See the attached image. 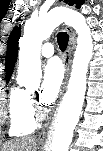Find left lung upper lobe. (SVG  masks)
<instances>
[{"mask_svg": "<svg viewBox=\"0 0 103 151\" xmlns=\"http://www.w3.org/2000/svg\"><path fill=\"white\" fill-rule=\"evenodd\" d=\"M65 3H68L70 6L76 5L77 8H80V6L84 3V0H65Z\"/></svg>", "mask_w": 103, "mask_h": 151, "instance_id": "1", "label": "left lung upper lobe"}]
</instances>
